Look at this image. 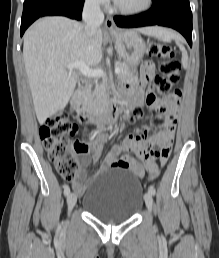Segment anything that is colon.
<instances>
[{"instance_id":"obj_1","label":"colon","mask_w":219,"mask_h":258,"mask_svg":"<svg viewBox=\"0 0 219 258\" xmlns=\"http://www.w3.org/2000/svg\"><path fill=\"white\" fill-rule=\"evenodd\" d=\"M149 53L161 59L162 62L160 73L148 84V90L163 96L168 95L180 80L181 65L175 59L173 49L168 44L151 42ZM144 115L145 112L141 107L135 108L131 122H135ZM79 131L80 127L69 120L65 113L47 118L40 128V138L49 159L54 163L58 173L67 180L74 179L79 168L77 159L79 144L71 140ZM155 175V172L147 173L146 177L149 179Z\"/></svg>"}]
</instances>
